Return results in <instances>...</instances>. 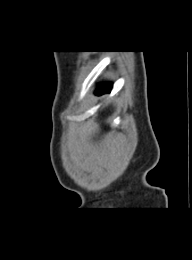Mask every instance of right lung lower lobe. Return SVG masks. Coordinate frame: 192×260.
Segmentation results:
<instances>
[{"label": "right lung lower lobe", "mask_w": 192, "mask_h": 260, "mask_svg": "<svg viewBox=\"0 0 192 260\" xmlns=\"http://www.w3.org/2000/svg\"><path fill=\"white\" fill-rule=\"evenodd\" d=\"M111 88H112L111 84H103L102 86L98 87L96 94L101 95L104 93H109L111 91Z\"/></svg>", "instance_id": "1"}]
</instances>
